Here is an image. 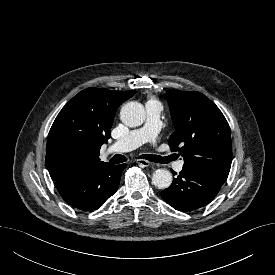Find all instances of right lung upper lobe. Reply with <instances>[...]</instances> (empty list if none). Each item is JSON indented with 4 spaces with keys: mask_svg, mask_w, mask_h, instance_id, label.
<instances>
[{
    "mask_svg": "<svg viewBox=\"0 0 275 275\" xmlns=\"http://www.w3.org/2000/svg\"><path fill=\"white\" fill-rule=\"evenodd\" d=\"M136 91L87 88L62 108L48 135L46 165L54 181L105 164L102 144L110 138L117 108Z\"/></svg>",
    "mask_w": 275,
    "mask_h": 275,
    "instance_id": "right-lung-upper-lobe-1",
    "label": "right lung upper lobe"
}]
</instances>
